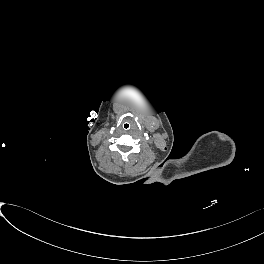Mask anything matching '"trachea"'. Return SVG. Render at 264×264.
I'll list each match as a JSON object with an SVG mask.
<instances>
[{
	"instance_id": "1",
	"label": "trachea",
	"mask_w": 264,
	"mask_h": 264,
	"mask_svg": "<svg viewBox=\"0 0 264 264\" xmlns=\"http://www.w3.org/2000/svg\"><path fill=\"white\" fill-rule=\"evenodd\" d=\"M122 128L127 131L131 128V124L129 122H124Z\"/></svg>"
}]
</instances>
